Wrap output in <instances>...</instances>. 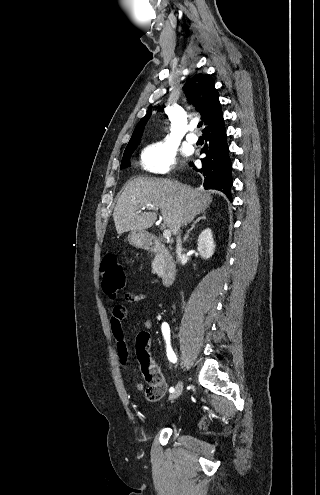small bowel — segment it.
<instances>
[{
    "instance_id": "small-bowel-1",
    "label": "small bowel",
    "mask_w": 320,
    "mask_h": 495,
    "mask_svg": "<svg viewBox=\"0 0 320 495\" xmlns=\"http://www.w3.org/2000/svg\"><path fill=\"white\" fill-rule=\"evenodd\" d=\"M125 300L128 302H141L147 299V295L144 293H134V292H127L124 296ZM120 307L115 306L112 309L111 313V318H110V326H111V331L114 335V337L118 341V347L120 354L124 357L127 354V349H126V344L124 342V328H123V321L127 316V308L124 305H119ZM144 326L146 328H150L152 326V322L150 318H147L144 320ZM142 367V372L146 377V380L148 382V376L149 375H155V374H160V371L156 367H151V368H146L141 364ZM133 387L134 389L138 391H142L144 389V385L139 382V381H134L133 382Z\"/></svg>"
}]
</instances>
